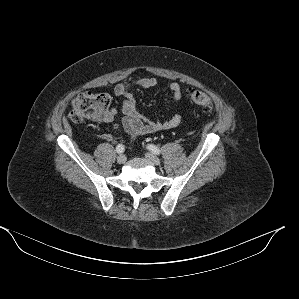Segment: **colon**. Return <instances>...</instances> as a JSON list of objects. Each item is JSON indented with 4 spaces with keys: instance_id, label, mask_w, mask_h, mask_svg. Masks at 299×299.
Masks as SVG:
<instances>
[{
    "instance_id": "obj_1",
    "label": "colon",
    "mask_w": 299,
    "mask_h": 299,
    "mask_svg": "<svg viewBox=\"0 0 299 299\" xmlns=\"http://www.w3.org/2000/svg\"><path fill=\"white\" fill-rule=\"evenodd\" d=\"M190 98L206 113L213 112V103L208 94L199 90H191ZM110 97L107 94L80 93L74 97L71 104L70 117L74 122L98 120L107 111Z\"/></svg>"
}]
</instances>
